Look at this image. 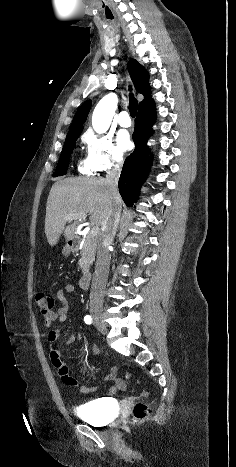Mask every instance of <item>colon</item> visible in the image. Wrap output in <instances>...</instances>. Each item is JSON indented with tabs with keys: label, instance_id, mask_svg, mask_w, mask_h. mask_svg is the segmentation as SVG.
I'll use <instances>...</instances> for the list:
<instances>
[{
	"label": "colon",
	"instance_id": "colon-1",
	"mask_svg": "<svg viewBox=\"0 0 236 467\" xmlns=\"http://www.w3.org/2000/svg\"><path fill=\"white\" fill-rule=\"evenodd\" d=\"M35 299L37 307L42 314L49 313L54 307L53 298L46 292H37ZM130 376L131 372H127L126 378H129ZM132 413L135 421L141 422L149 416L150 407L146 403L138 402L133 406Z\"/></svg>",
	"mask_w": 236,
	"mask_h": 467
}]
</instances>
